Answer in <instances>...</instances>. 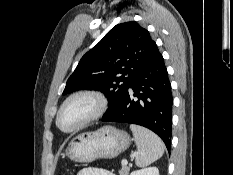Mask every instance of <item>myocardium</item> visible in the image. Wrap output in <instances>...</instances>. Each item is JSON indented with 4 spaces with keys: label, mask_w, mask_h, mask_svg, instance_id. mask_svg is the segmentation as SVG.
<instances>
[{
    "label": "myocardium",
    "mask_w": 233,
    "mask_h": 175,
    "mask_svg": "<svg viewBox=\"0 0 233 175\" xmlns=\"http://www.w3.org/2000/svg\"><path fill=\"white\" fill-rule=\"evenodd\" d=\"M78 98H89V99L93 100V102L95 104L94 110L92 111V113L90 115H88L86 118H84L82 121H80L75 126L68 128V129H65L60 124V117H61L64 109L72 101H74ZM108 105H109V102H108L107 97L100 90L83 89V90L75 91V92L71 93L70 95H68L61 103V105L57 111V114H56V119H55L56 126L61 131L65 132V133H71V132L77 131V130L81 129L82 127H84L85 125L89 124L90 122L100 118L106 112Z\"/></svg>",
    "instance_id": "obj_1"
}]
</instances>
